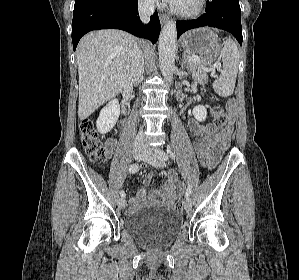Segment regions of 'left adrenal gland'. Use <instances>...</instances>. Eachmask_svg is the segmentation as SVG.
<instances>
[{
    "instance_id": "1",
    "label": "left adrenal gland",
    "mask_w": 299,
    "mask_h": 280,
    "mask_svg": "<svg viewBox=\"0 0 299 280\" xmlns=\"http://www.w3.org/2000/svg\"><path fill=\"white\" fill-rule=\"evenodd\" d=\"M188 62H187V57H186V53H183L182 59H181V67L182 68H186L188 70Z\"/></svg>"
}]
</instances>
